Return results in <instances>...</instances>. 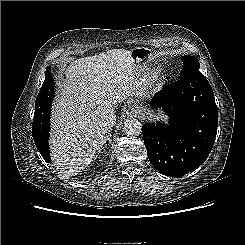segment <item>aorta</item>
<instances>
[{"instance_id":"obj_1","label":"aorta","mask_w":245,"mask_h":245,"mask_svg":"<svg viewBox=\"0 0 245 245\" xmlns=\"http://www.w3.org/2000/svg\"><path fill=\"white\" fill-rule=\"evenodd\" d=\"M123 131L128 136H137L142 131V125L137 119H127L124 122Z\"/></svg>"}]
</instances>
